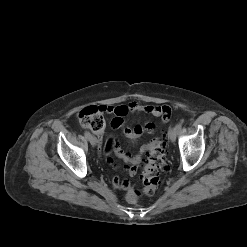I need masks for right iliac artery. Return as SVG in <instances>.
Wrapping results in <instances>:
<instances>
[{
  "instance_id": "right-iliac-artery-1",
  "label": "right iliac artery",
  "mask_w": 247,
  "mask_h": 247,
  "mask_svg": "<svg viewBox=\"0 0 247 247\" xmlns=\"http://www.w3.org/2000/svg\"><path fill=\"white\" fill-rule=\"evenodd\" d=\"M84 135H85V137H86L87 139H89V137L91 136V134H90L88 131H86V132L84 133Z\"/></svg>"
}]
</instances>
